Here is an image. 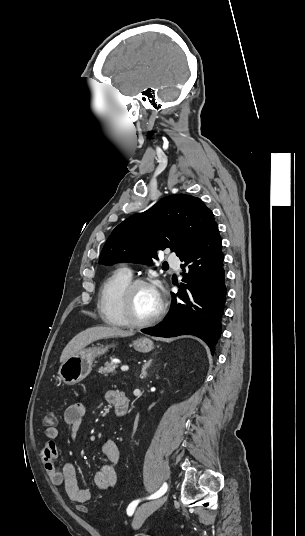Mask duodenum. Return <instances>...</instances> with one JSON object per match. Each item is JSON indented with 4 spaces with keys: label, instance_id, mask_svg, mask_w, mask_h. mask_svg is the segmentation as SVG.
<instances>
[{
    "label": "duodenum",
    "instance_id": "duodenum-1",
    "mask_svg": "<svg viewBox=\"0 0 305 536\" xmlns=\"http://www.w3.org/2000/svg\"><path fill=\"white\" fill-rule=\"evenodd\" d=\"M113 403L118 415L126 414L128 410V400L122 391H116L113 396Z\"/></svg>",
    "mask_w": 305,
    "mask_h": 536
}]
</instances>
